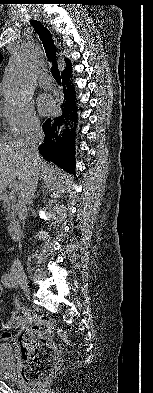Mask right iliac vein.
Returning a JSON list of instances; mask_svg holds the SVG:
<instances>
[{
	"label": "right iliac vein",
	"mask_w": 153,
	"mask_h": 393,
	"mask_svg": "<svg viewBox=\"0 0 153 393\" xmlns=\"http://www.w3.org/2000/svg\"><path fill=\"white\" fill-rule=\"evenodd\" d=\"M13 277L16 280V282L23 288V290L26 292V294L29 295L30 289H29L26 277L20 273H15L13 275Z\"/></svg>",
	"instance_id": "63e3f726"
}]
</instances>
